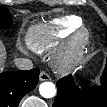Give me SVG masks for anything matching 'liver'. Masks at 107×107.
Masks as SVG:
<instances>
[{
  "instance_id": "liver-1",
  "label": "liver",
  "mask_w": 107,
  "mask_h": 107,
  "mask_svg": "<svg viewBox=\"0 0 107 107\" xmlns=\"http://www.w3.org/2000/svg\"><path fill=\"white\" fill-rule=\"evenodd\" d=\"M4 59H5V52L1 50L0 52L1 68H3Z\"/></svg>"
}]
</instances>
